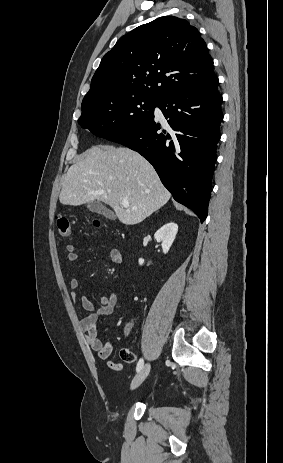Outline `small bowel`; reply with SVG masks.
Masks as SVG:
<instances>
[{"instance_id":"obj_1","label":"small bowel","mask_w":283,"mask_h":463,"mask_svg":"<svg viewBox=\"0 0 283 463\" xmlns=\"http://www.w3.org/2000/svg\"><path fill=\"white\" fill-rule=\"evenodd\" d=\"M68 261L74 263L78 260V254L72 244L66 246ZM110 258L113 263H120L122 261L121 253L118 249L112 248L109 252ZM71 289L72 301L79 300L82 308L88 312L81 319V327L85 334V339L88 345L96 352L99 359L105 360L109 369L113 371H121L122 364L110 359L112 354V344L109 341L103 342L97 338V326L101 318L106 317L113 313L117 306V296L110 294L103 296L100 301V306L96 307L87 297L79 294L80 284L77 279H71L69 282Z\"/></svg>"}]
</instances>
